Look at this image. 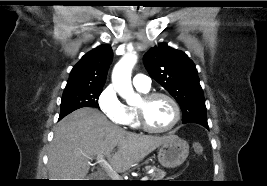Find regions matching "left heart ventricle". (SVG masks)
<instances>
[{"label":"left heart ventricle","mask_w":267,"mask_h":186,"mask_svg":"<svg viewBox=\"0 0 267 186\" xmlns=\"http://www.w3.org/2000/svg\"><path fill=\"white\" fill-rule=\"evenodd\" d=\"M173 118L174 110L167 99L158 97L148 103L146 107V120L151 127L164 128L171 124Z\"/></svg>","instance_id":"1"}]
</instances>
